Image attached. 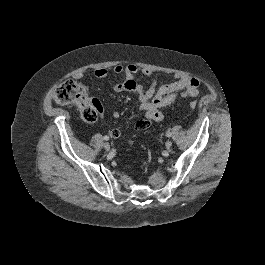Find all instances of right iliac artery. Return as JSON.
<instances>
[{"label": "right iliac artery", "mask_w": 265, "mask_h": 265, "mask_svg": "<svg viewBox=\"0 0 265 265\" xmlns=\"http://www.w3.org/2000/svg\"><path fill=\"white\" fill-rule=\"evenodd\" d=\"M103 139H104L105 141H108V140H109V137H108V136H104Z\"/></svg>", "instance_id": "right-iliac-artery-1"}]
</instances>
